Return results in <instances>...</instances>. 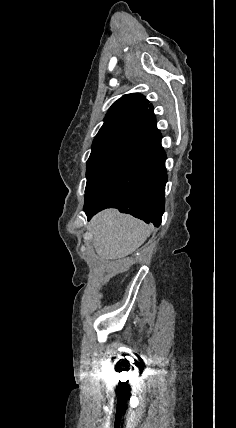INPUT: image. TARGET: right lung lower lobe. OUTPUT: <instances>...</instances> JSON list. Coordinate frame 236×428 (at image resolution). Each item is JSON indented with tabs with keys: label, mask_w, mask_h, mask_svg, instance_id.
I'll list each match as a JSON object with an SVG mask.
<instances>
[{
	"label": "right lung lower lobe",
	"mask_w": 236,
	"mask_h": 428,
	"mask_svg": "<svg viewBox=\"0 0 236 428\" xmlns=\"http://www.w3.org/2000/svg\"><path fill=\"white\" fill-rule=\"evenodd\" d=\"M127 172L95 202L84 206L88 220L105 208H118L146 223L161 224L165 204L166 155L158 131Z\"/></svg>",
	"instance_id": "obj_1"
}]
</instances>
